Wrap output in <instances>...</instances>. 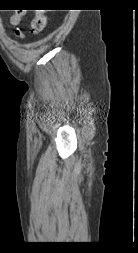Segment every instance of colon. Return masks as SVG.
I'll use <instances>...</instances> for the list:
<instances>
[{
	"instance_id": "obj_1",
	"label": "colon",
	"mask_w": 138,
	"mask_h": 253,
	"mask_svg": "<svg viewBox=\"0 0 138 253\" xmlns=\"http://www.w3.org/2000/svg\"><path fill=\"white\" fill-rule=\"evenodd\" d=\"M47 24V17L46 15L38 11L35 15V18L32 21V31L35 34H38L44 30Z\"/></svg>"
}]
</instances>
